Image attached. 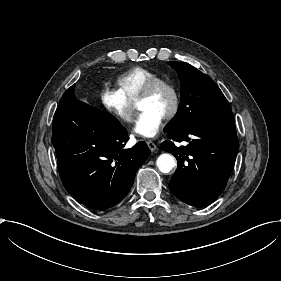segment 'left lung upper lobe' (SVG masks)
Returning <instances> with one entry per match:
<instances>
[{
    "mask_svg": "<svg viewBox=\"0 0 281 281\" xmlns=\"http://www.w3.org/2000/svg\"><path fill=\"white\" fill-rule=\"evenodd\" d=\"M181 81L178 113L164 132L178 131L200 123L233 117L229 104L214 81L185 62H168Z\"/></svg>",
    "mask_w": 281,
    "mask_h": 281,
    "instance_id": "obj_1",
    "label": "left lung upper lobe"
}]
</instances>
